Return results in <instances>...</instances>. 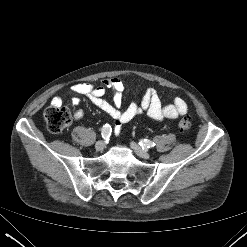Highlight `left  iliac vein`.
I'll use <instances>...</instances> for the list:
<instances>
[{
	"label": "left iliac vein",
	"mask_w": 247,
	"mask_h": 247,
	"mask_svg": "<svg viewBox=\"0 0 247 247\" xmlns=\"http://www.w3.org/2000/svg\"><path fill=\"white\" fill-rule=\"evenodd\" d=\"M131 148L141 158L148 159L150 157V154L146 150L142 149L134 142L131 143Z\"/></svg>",
	"instance_id": "obj_1"
}]
</instances>
